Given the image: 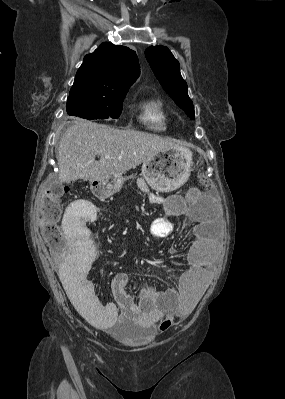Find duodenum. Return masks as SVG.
<instances>
[{
    "label": "duodenum",
    "instance_id": "410a0bca",
    "mask_svg": "<svg viewBox=\"0 0 285 399\" xmlns=\"http://www.w3.org/2000/svg\"><path fill=\"white\" fill-rule=\"evenodd\" d=\"M76 213H77L78 218H80V219H83V218H84L83 215H82L81 213H79V212H76Z\"/></svg>",
    "mask_w": 285,
    "mask_h": 399
}]
</instances>
